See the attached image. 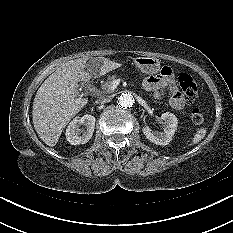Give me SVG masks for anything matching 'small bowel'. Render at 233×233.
Instances as JSON below:
<instances>
[{"instance_id": "1", "label": "small bowel", "mask_w": 233, "mask_h": 233, "mask_svg": "<svg viewBox=\"0 0 233 233\" xmlns=\"http://www.w3.org/2000/svg\"><path fill=\"white\" fill-rule=\"evenodd\" d=\"M145 90L153 91L154 97L162 99L166 91L169 92V102L174 109H182L185 106V98L178 90L173 71L170 67H163L157 75L149 76L142 82Z\"/></svg>"}]
</instances>
